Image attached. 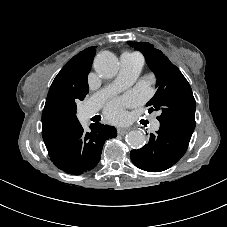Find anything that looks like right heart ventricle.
Instances as JSON below:
<instances>
[{"label":"right heart ventricle","mask_w":227,"mask_h":227,"mask_svg":"<svg viewBox=\"0 0 227 227\" xmlns=\"http://www.w3.org/2000/svg\"><path fill=\"white\" fill-rule=\"evenodd\" d=\"M125 54L138 55V54H136V53H125Z\"/></svg>","instance_id":"right-heart-ventricle-1"}]
</instances>
